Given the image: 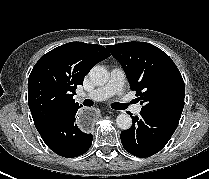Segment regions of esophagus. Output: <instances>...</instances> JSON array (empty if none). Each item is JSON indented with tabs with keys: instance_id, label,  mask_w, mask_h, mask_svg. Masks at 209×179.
Returning <instances> with one entry per match:
<instances>
[{
	"instance_id": "1",
	"label": "esophagus",
	"mask_w": 209,
	"mask_h": 179,
	"mask_svg": "<svg viewBox=\"0 0 209 179\" xmlns=\"http://www.w3.org/2000/svg\"><path fill=\"white\" fill-rule=\"evenodd\" d=\"M97 118V112L93 108L81 109L76 116L77 127L84 132L90 131L94 127Z\"/></svg>"
}]
</instances>
